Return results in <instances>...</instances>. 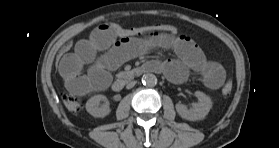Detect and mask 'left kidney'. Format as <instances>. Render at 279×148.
Returning <instances> with one entry per match:
<instances>
[{"label":"left kidney","instance_id":"obj_1","mask_svg":"<svg viewBox=\"0 0 279 148\" xmlns=\"http://www.w3.org/2000/svg\"><path fill=\"white\" fill-rule=\"evenodd\" d=\"M195 96L198 98V103L192 104L191 109H187L183 104H177V113L186 120L197 121L202 120L212 108L211 98L201 91H196Z\"/></svg>","mask_w":279,"mask_h":148}]
</instances>
